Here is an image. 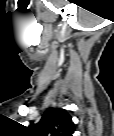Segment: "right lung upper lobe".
Listing matches in <instances>:
<instances>
[{
    "instance_id": "obj_1",
    "label": "right lung upper lobe",
    "mask_w": 114,
    "mask_h": 136,
    "mask_svg": "<svg viewBox=\"0 0 114 136\" xmlns=\"http://www.w3.org/2000/svg\"><path fill=\"white\" fill-rule=\"evenodd\" d=\"M30 127L38 136H73L75 131L71 116L60 108L49 109L37 124Z\"/></svg>"
}]
</instances>
